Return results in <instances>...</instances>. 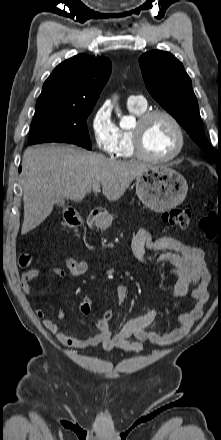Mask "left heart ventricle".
I'll list each match as a JSON object with an SVG mask.
<instances>
[{
    "instance_id": "obj_1",
    "label": "left heart ventricle",
    "mask_w": 221,
    "mask_h": 440,
    "mask_svg": "<svg viewBox=\"0 0 221 440\" xmlns=\"http://www.w3.org/2000/svg\"><path fill=\"white\" fill-rule=\"evenodd\" d=\"M142 141L149 154L164 157L175 150L178 137L174 126L166 117L156 116L144 125Z\"/></svg>"
}]
</instances>
